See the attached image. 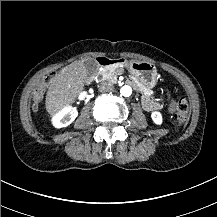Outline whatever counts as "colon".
Masks as SVG:
<instances>
[{"label":"colon","instance_id":"5ec220e1","mask_svg":"<svg viewBox=\"0 0 217 217\" xmlns=\"http://www.w3.org/2000/svg\"><path fill=\"white\" fill-rule=\"evenodd\" d=\"M55 81V76L52 73L45 74L41 83L36 86V93L33 98L32 110L36 112L39 107V101L43 94L47 93L48 89L52 87ZM163 95L169 96L172 93L169 85H162L160 88ZM171 109L175 113V118L178 126H184L189 120V102L186 97L179 96L175 98L171 105Z\"/></svg>","mask_w":217,"mask_h":217}]
</instances>
